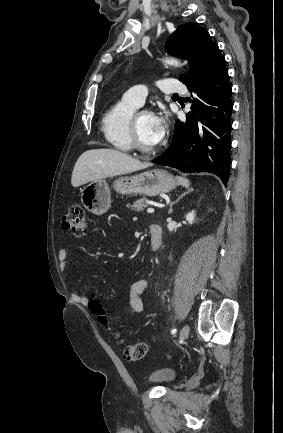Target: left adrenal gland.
<instances>
[{"instance_id":"left-adrenal-gland-1","label":"left adrenal gland","mask_w":283,"mask_h":433,"mask_svg":"<svg viewBox=\"0 0 283 433\" xmlns=\"http://www.w3.org/2000/svg\"><path fill=\"white\" fill-rule=\"evenodd\" d=\"M191 190H193V188H189V190H187V192H191ZM187 192H184V194H181V196H178L177 200H174V202H171L170 204V208L168 210L169 214H171V212H173V204H175V202H178V200H180V198H182V196H185V194H187Z\"/></svg>"}]
</instances>
